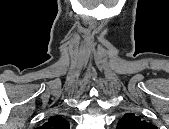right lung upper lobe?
I'll return each mask as SVG.
<instances>
[{
	"instance_id": "right-lung-upper-lobe-1",
	"label": "right lung upper lobe",
	"mask_w": 169,
	"mask_h": 129,
	"mask_svg": "<svg viewBox=\"0 0 169 129\" xmlns=\"http://www.w3.org/2000/svg\"><path fill=\"white\" fill-rule=\"evenodd\" d=\"M43 127L45 129H68L69 122L61 116H53L49 118L48 122H46Z\"/></svg>"
}]
</instances>
